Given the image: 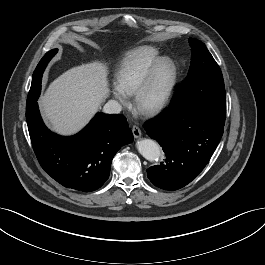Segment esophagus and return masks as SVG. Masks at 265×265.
Returning a JSON list of instances; mask_svg holds the SVG:
<instances>
[{"label":"esophagus","instance_id":"esophagus-1","mask_svg":"<svg viewBox=\"0 0 265 265\" xmlns=\"http://www.w3.org/2000/svg\"><path fill=\"white\" fill-rule=\"evenodd\" d=\"M132 132H133L134 138L136 139L140 138L142 135L140 128L136 125L132 127Z\"/></svg>","mask_w":265,"mask_h":265}]
</instances>
